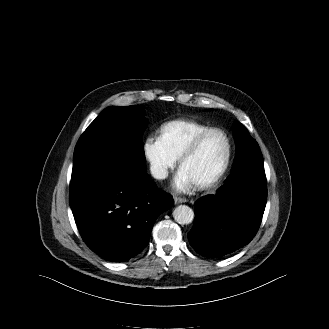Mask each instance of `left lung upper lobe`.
<instances>
[{
  "label": "left lung upper lobe",
  "instance_id": "left-lung-upper-lobe-1",
  "mask_svg": "<svg viewBox=\"0 0 329 329\" xmlns=\"http://www.w3.org/2000/svg\"><path fill=\"white\" fill-rule=\"evenodd\" d=\"M235 139L237 142L236 160L244 161L248 169L264 167L263 157L259 145L253 139L247 129L242 124H237L235 129Z\"/></svg>",
  "mask_w": 329,
  "mask_h": 329
}]
</instances>
